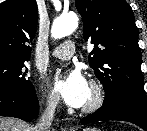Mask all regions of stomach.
<instances>
[{
  "instance_id": "1",
  "label": "stomach",
  "mask_w": 147,
  "mask_h": 131,
  "mask_svg": "<svg viewBox=\"0 0 147 131\" xmlns=\"http://www.w3.org/2000/svg\"><path fill=\"white\" fill-rule=\"evenodd\" d=\"M83 131H99L96 128H85Z\"/></svg>"
}]
</instances>
